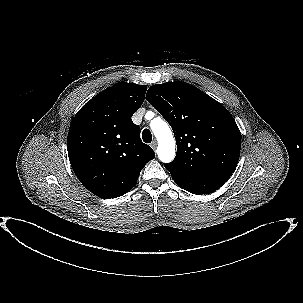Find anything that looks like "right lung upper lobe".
<instances>
[{"instance_id": "1", "label": "right lung upper lobe", "mask_w": 303, "mask_h": 303, "mask_svg": "<svg viewBox=\"0 0 303 303\" xmlns=\"http://www.w3.org/2000/svg\"><path fill=\"white\" fill-rule=\"evenodd\" d=\"M146 90L144 85L119 82L88 101L70 125L67 149L71 166L80 182L101 198L127 193L145 164L155 157L131 119Z\"/></svg>"}]
</instances>
